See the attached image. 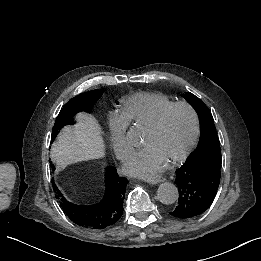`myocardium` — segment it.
<instances>
[{
    "label": "myocardium",
    "mask_w": 261,
    "mask_h": 261,
    "mask_svg": "<svg viewBox=\"0 0 261 261\" xmlns=\"http://www.w3.org/2000/svg\"><path fill=\"white\" fill-rule=\"evenodd\" d=\"M172 107L183 108V109H186L187 111H189L193 117L194 128H193L192 135H191L190 140L187 143V145L179 153L164 159L165 162H167V163H173V162L184 159L187 156V154L192 150V148L195 146V144L197 143L199 135H200V131H201V119H200V115H199L198 111L192 105L185 103V102H179V101H172V102L165 104L152 115L142 119L140 121V123L147 124V125H153L156 123V121L158 120V118L164 111H166L167 109L172 108Z\"/></svg>",
    "instance_id": "myocardium-1"
}]
</instances>
